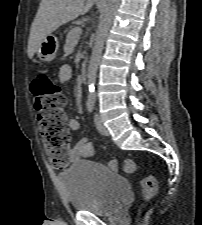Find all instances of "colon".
<instances>
[{
  "label": "colon",
  "instance_id": "5ec220e1",
  "mask_svg": "<svg viewBox=\"0 0 202 225\" xmlns=\"http://www.w3.org/2000/svg\"><path fill=\"white\" fill-rule=\"evenodd\" d=\"M31 89L36 99V127L44 147L55 166L65 167L68 165L71 136L64 110L65 98L60 85L46 70H40L32 81ZM109 166L114 171H136V162L133 159L122 162L114 159L109 162ZM140 188L142 206L158 194V185L153 176L142 178Z\"/></svg>",
  "mask_w": 202,
  "mask_h": 225
}]
</instances>
